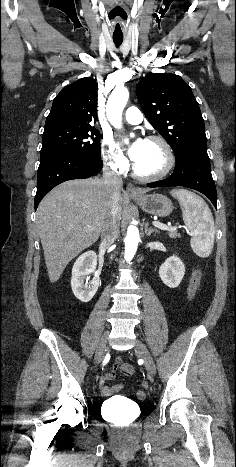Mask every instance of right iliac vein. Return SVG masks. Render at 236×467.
<instances>
[{"label":"right iliac vein","mask_w":236,"mask_h":467,"mask_svg":"<svg viewBox=\"0 0 236 467\" xmlns=\"http://www.w3.org/2000/svg\"><path fill=\"white\" fill-rule=\"evenodd\" d=\"M107 339H108V333H104V335L101 338V341L99 343V346L96 350V355H95V364H99L105 355L106 352V345H107Z\"/></svg>","instance_id":"1"}]
</instances>
